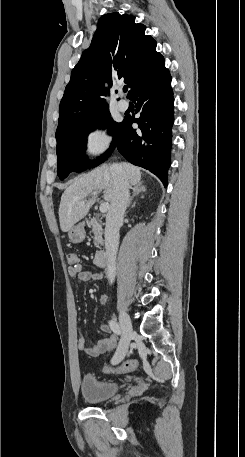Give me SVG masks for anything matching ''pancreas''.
<instances>
[{"instance_id": "obj_1", "label": "pancreas", "mask_w": 245, "mask_h": 457, "mask_svg": "<svg viewBox=\"0 0 245 457\" xmlns=\"http://www.w3.org/2000/svg\"><path fill=\"white\" fill-rule=\"evenodd\" d=\"M88 224L89 226H91V233H93L94 237V245L95 247H100V245H103V239H102V235H103V229H102V224H100L99 220H97V218H95V216H93V218H91V220H88Z\"/></svg>"}]
</instances>
